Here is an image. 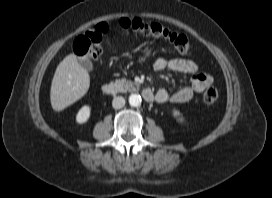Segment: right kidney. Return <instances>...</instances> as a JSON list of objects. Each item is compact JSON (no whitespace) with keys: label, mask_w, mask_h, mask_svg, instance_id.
<instances>
[{"label":"right kidney","mask_w":272,"mask_h":198,"mask_svg":"<svg viewBox=\"0 0 272 198\" xmlns=\"http://www.w3.org/2000/svg\"><path fill=\"white\" fill-rule=\"evenodd\" d=\"M91 114V108L87 105H84L77 113L76 115V121L79 124H83L88 121Z\"/></svg>","instance_id":"ca27d5eb"}]
</instances>
